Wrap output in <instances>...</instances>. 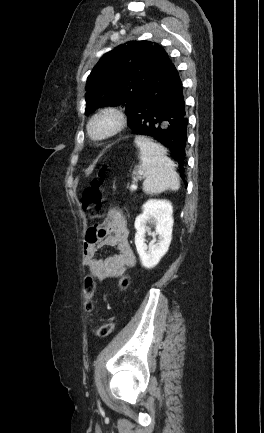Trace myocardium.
<instances>
[{
  "label": "myocardium",
  "instance_id": "myocardium-1",
  "mask_svg": "<svg viewBox=\"0 0 264 433\" xmlns=\"http://www.w3.org/2000/svg\"><path fill=\"white\" fill-rule=\"evenodd\" d=\"M125 113L115 107H105L93 114L86 124V135L94 142H102L118 135L126 126Z\"/></svg>",
  "mask_w": 264,
  "mask_h": 433
}]
</instances>
